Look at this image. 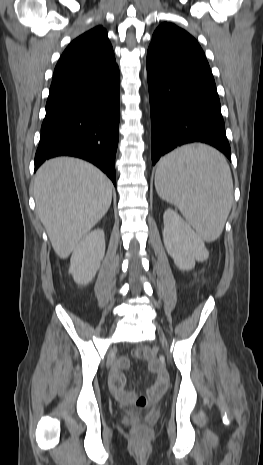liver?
<instances>
[{"label":"liver","mask_w":263,"mask_h":465,"mask_svg":"<svg viewBox=\"0 0 263 465\" xmlns=\"http://www.w3.org/2000/svg\"><path fill=\"white\" fill-rule=\"evenodd\" d=\"M34 198L55 253L65 259L107 213L112 183L90 163L58 157L37 170Z\"/></svg>","instance_id":"obj_1"}]
</instances>
